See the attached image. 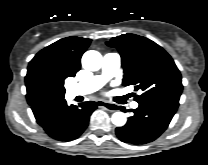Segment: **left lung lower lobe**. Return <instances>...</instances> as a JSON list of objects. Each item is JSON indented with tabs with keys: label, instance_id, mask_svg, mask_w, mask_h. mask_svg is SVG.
Wrapping results in <instances>:
<instances>
[{
	"label": "left lung lower lobe",
	"instance_id": "obj_1",
	"mask_svg": "<svg viewBox=\"0 0 208 165\" xmlns=\"http://www.w3.org/2000/svg\"><path fill=\"white\" fill-rule=\"evenodd\" d=\"M179 101L162 99L139 104L123 127L116 128L117 137L131 144H146L157 139L168 127Z\"/></svg>",
	"mask_w": 208,
	"mask_h": 165
}]
</instances>
